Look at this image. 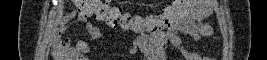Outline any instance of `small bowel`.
<instances>
[{
    "mask_svg": "<svg viewBox=\"0 0 267 60\" xmlns=\"http://www.w3.org/2000/svg\"><path fill=\"white\" fill-rule=\"evenodd\" d=\"M213 11V1L211 0H190L188 12L180 23L167 32L156 34H146L140 32L133 40L130 53L132 55H142L146 60H165L166 49L168 45L176 48L185 60H208L202 58L199 54L188 50L183 42L181 35L186 34L196 42L202 43L204 38L213 35L211 25L203 22ZM76 23L86 25V30L92 40H98L102 37L100 28L94 25L88 16H84L76 11H71L65 18L64 27ZM61 28L59 35L63 33ZM57 48L64 53L73 56H82L90 52V45L85 40H77L73 44L66 38L57 44Z\"/></svg>",
    "mask_w": 267,
    "mask_h": 60,
    "instance_id": "1",
    "label": "small bowel"
}]
</instances>
